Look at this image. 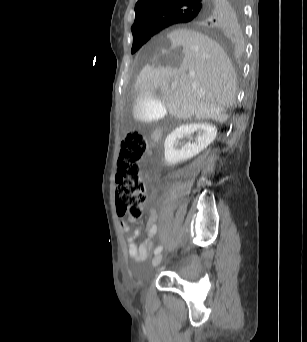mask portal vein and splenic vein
<instances>
[{
	"instance_id": "portal-vein-and-splenic-vein-1",
	"label": "portal vein and splenic vein",
	"mask_w": 307,
	"mask_h": 342,
	"mask_svg": "<svg viewBox=\"0 0 307 342\" xmlns=\"http://www.w3.org/2000/svg\"><path fill=\"white\" fill-rule=\"evenodd\" d=\"M171 88H177V82H171Z\"/></svg>"
}]
</instances>
